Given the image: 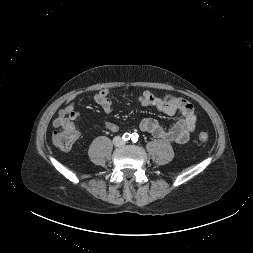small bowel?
<instances>
[{
  "instance_id": "1",
  "label": "small bowel",
  "mask_w": 253,
  "mask_h": 253,
  "mask_svg": "<svg viewBox=\"0 0 253 253\" xmlns=\"http://www.w3.org/2000/svg\"><path fill=\"white\" fill-rule=\"evenodd\" d=\"M77 96L71 97L61 108L55 119L54 127H62L74 133L75 140L79 137L78 123L81 115L75 110ZM94 101L107 114L112 112V104L109 98V90L101 89L94 95ZM138 102L143 106H152L160 112L174 116L179 115L178 121L169 129H164L155 119L144 118L139 122V128L152 136L178 144L186 143L194 132L197 122L193 106L184 98L175 95H156L150 91H144L139 97ZM106 128L111 132H116L118 126L107 122Z\"/></svg>"
}]
</instances>
